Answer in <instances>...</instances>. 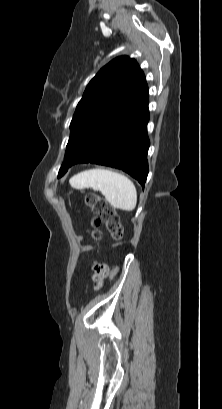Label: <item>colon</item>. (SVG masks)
Masks as SVG:
<instances>
[{
  "mask_svg": "<svg viewBox=\"0 0 222 409\" xmlns=\"http://www.w3.org/2000/svg\"><path fill=\"white\" fill-rule=\"evenodd\" d=\"M85 203L94 214V229L91 231V237L93 239L97 240L100 238V232L97 229V226L100 223H104L106 225L111 237L114 240L119 241L123 238V226L117 212L111 205H109L100 195L96 193H88L85 196ZM110 273L111 276H114L117 273V268H112Z\"/></svg>",
  "mask_w": 222,
  "mask_h": 409,
  "instance_id": "obj_1",
  "label": "colon"
}]
</instances>
